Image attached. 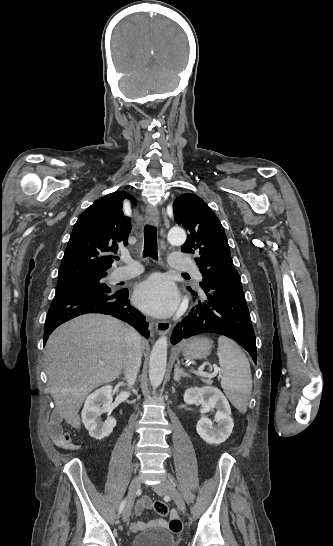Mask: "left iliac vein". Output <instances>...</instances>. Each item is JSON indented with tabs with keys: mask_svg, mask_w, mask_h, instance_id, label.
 I'll list each match as a JSON object with an SVG mask.
<instances>
[{
	"mask_svg": "<svg viewBox=\"0 0 333 546\" xmlns=\"http://www.w3.org/2000/svg\"><path fill=\"white\" fill-rule=\"evenodd\" d=\"M153 489L160 495H169L175 501L179 510L185 513L186 507L184 500L177 489L169 481H163L159 484L153 485Z\"/></svg>",
	"mask_w": 333,
	"mask_h": 546,
	"instance_id": "left-iliac-vein-1",
	"label": "left iliac vein"
}]
</instances>
